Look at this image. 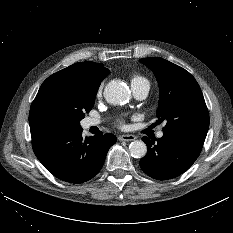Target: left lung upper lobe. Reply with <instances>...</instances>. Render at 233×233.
<instances>
[{
    "mask_svg": "<svg viewBox=\"0 0 233 233\" xmlns=\"http://www.w3.org/2000/svg\"><path fill=\"white\" fill-rule=\"evenodd\" d=\"M149 67L160 87L158 121H166L164 132L199 130L207 132L209 113L195 78L182 67L160 57L140 59Z\"/></svg>",
    "mask_w": 233,
    "mask_h": 233,
    "instance_id": "1",
    "label": "left lung upper lobe"
}]
</instances>
